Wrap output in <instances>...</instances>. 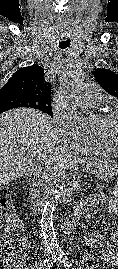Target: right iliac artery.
<instances>
[{
	"label": "right iliac artery",
	"mask_w": 118,
	"mask_h": 269,
	"mask_svg": "<svg viewBox=\"0 0 118 269\" xmlns=\"http://www.w3.org/2000/svg\"><path fill=\"white\" fill-rule=\"evenodd\" d=\"M57 259V256H52L51 258L41 261L38 269H50Z\"/></svg>",
	"instance_id": "82829eb1"
}]
</instances>
